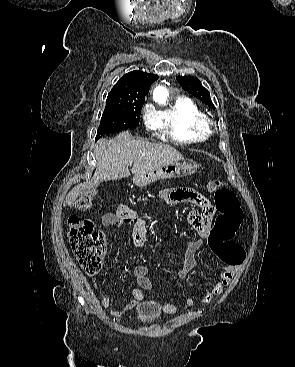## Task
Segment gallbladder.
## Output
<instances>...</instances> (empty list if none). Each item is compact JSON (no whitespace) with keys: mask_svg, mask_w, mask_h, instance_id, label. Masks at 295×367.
<instances>
[{"mask_svg":"<svg viewBox=\"0 0 295 367\" xmlns=\"http://www.w3.org/2000/svg\"><path fill=\"white\" fill-rule=\"evenodd\" d=\"M96 187H97V186H93V187L91 188V192H95Z\"/></svg>","mask_w":295,"mask_h":367,"instance_id":"obj_1","label":"gallbladder"}]
</instances>
